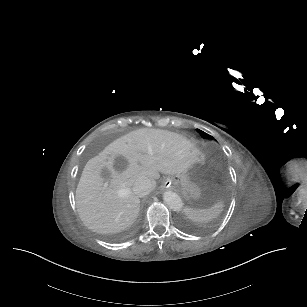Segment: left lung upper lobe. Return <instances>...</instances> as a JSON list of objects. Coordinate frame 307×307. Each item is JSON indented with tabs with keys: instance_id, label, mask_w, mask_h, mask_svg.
Here are the masks:
<instances>
[{
	"instance_id": "1",
	"label": "left lung upper lobe",
	"mask_w": 307,
	"mask_h": 307,
	"mask_svg": "<svg viewBox=\"0 0 307 307\" xmlns=\"http://www.w3.org/2000/svg\"><path fill=\"white\" fill-rule=\"evenodd\" d=\"M197 131L200 133V135L203 137V138H205V139H212L213 137L212 136H210V135H208L207 133H205V132H203V131H201V130H199V129H197Z\"/></svg>"
}]
</instances>
